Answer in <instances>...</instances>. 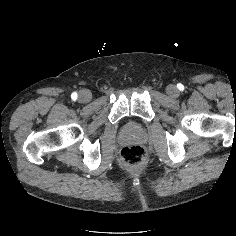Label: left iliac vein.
Returning a JSON list of instances; mask_svg holds the SVG:
<instances>
[{"label": "left iliac vein", "mask_w": 236, "mask_h": 236, "mask_svg": "<svg viewBox=\"0 0 236 236\" xmlns=\"http://www.w3.org/2000/svg\"><path fill=\"white\" fill-rule=\"evenodd\" d=\"M166 93L172 98H176L179 96V90L177 89L175 85L167 86Z\"/></svg>", "instance_id": "obj_1"}]
</instances>
